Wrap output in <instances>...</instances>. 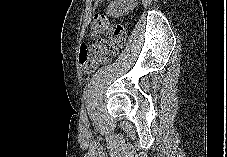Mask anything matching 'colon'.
<instances>
[{
	"label": "colon",
	"mask_w": 227,
	"mask_h": 157,
	"mask_svg": "<svg viewBox=\"0 0 227 157\" xmlns=\"http://www.w3.org/2000/svg\"><path fill=\"white\" fill-rule=\"evenodd\" d=\"M90 35L96 39L95 43L84 45L79 54L80 63L88 72L118 54L125 42V29L99 16L92 22Z\"/></svg>",
	"instance_id": "1"
}]
</instances>
